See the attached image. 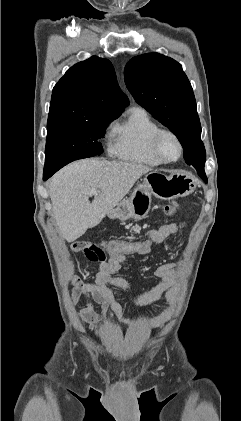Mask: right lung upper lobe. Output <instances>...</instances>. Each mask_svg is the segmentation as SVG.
I'll list each match as a JSON object with an SVG mask.
<instances>
[{
    "mask_svg": "<svg viewBox=\"0 0 241 421\" xmlns=\"http://www.w3.org/2000/svg\"><path fill=\"white\" fill-rule=\"evenodd\" d=\"M129 104L112 63L93 56L67 70L52 92L49 115L78 118L119 116Z\"/></svg>",
    "mask_w": 241,
    "mask_h": 421,
    "instance_id": "1",
    "label": "right lung upper lobe"
}]
</instances>
